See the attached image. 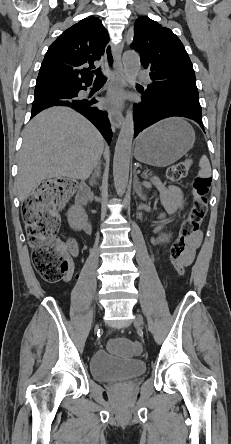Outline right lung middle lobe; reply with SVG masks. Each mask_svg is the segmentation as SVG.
I'll return each mask as SVG.
<instances>
[{"instance_id":"dd1d6c3e","label":"right lung middle lobe","mask_w":231,"mask_h":444,"mask_svg":"<svg viewBox=\"0 0 231 444\" xmlns=\"http://www.w3.org/2000/svg\"><path fill=\"white\" fill-rule=\"evenodd\" d=\"M68 87H70V86H59V87H56L55 89H57V88H68Z\"/></svg>"}]
</instances>
